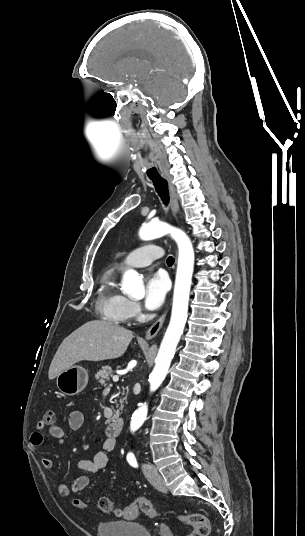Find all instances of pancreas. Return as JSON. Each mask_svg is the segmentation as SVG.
I'll return each instance as SVG.
<instances>
[{
	"label": "pancreas",
	"instance_id": "cf45deb5",
	"mask_svg": "<svg viewBox=\"0 0 305 536\" xmlns=\"http://www.w3.org/2000/svg\"><path fill=\"white\" fill-rule=\"evenodd\" d=\"M113 374H112V370L110 368V366H103L102 370H99V372H97V374H95V378L96 380H99L100 384H106V382H108V380H110V378H112ZM122 396H124V394H122ZM120 404H121V408H119V410H117V412H115L114 416H120V410H123V400H120ZM117 408H118V404H116Z\"/></svg>",
	"mask_w": 305,
	"mask_h": 536
}]
</instances>
